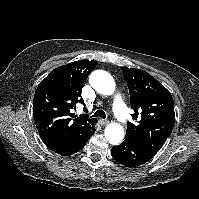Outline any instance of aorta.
I'll list each match as a JSON object with an SVG mask.
<instances>
[{
  "mask_svg": "<svg viewBox=\"0 0 199 199\" xmlns=\"http://www.w3.org/2000/svg\"><path fill=\"white\" fill-rule=\"evenodd\" d=\"M90 85L100 94L111 95L115 90V81L106 71L95 70L89 77ZM105 138L112 144L117 145L124 138V129L118 123H110L105 128Z\"/></svg>",
  "mask_w": 199,
  "mask_h": 199,
  "instance_id": "aorta-1",
  "label": "aorta"
}]
</instances>
